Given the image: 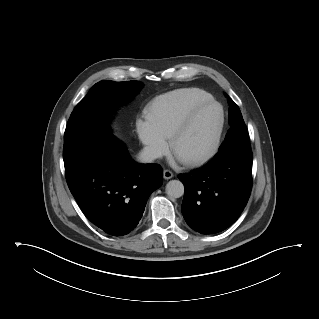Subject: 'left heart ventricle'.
I'll list each match as a JSON object with an SVG mask.
<instances>
[{"instance_id":"b2bd125f","label":"left heart ventricle","mask_w":319,"mask_h":319,"mask_svg":"<svg viewBox=\"0 0 319 319\" xmlns=\"http://www.w3.org/2000/svg\"><path fill=\"white\" fill-rule=\"evenodd\" d=\"M220 124V110L211 105L202 109L190 129L178 140L175 154L185 160L202 156L213 147Z\"/></svg>"}]
</instances>
